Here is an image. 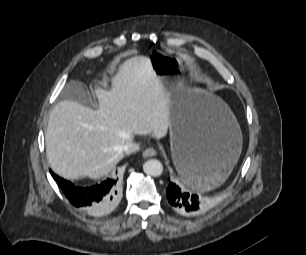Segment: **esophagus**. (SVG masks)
I'll list each match as a JSON object with an SVG mask.
<instances>
[{"mask_svg":"<svg viewBox=\"0 0 306 255\" xmlns=\"http://www.w3.org/2000/svg\"><path fill=\"white\" fill-rule=\"evenodd\" d=\"M156 155H157V151H156L154 148H152V147L147 148V149H145V150L143 151V156H144L145 158L154 157V156H156Z\"/></svg>","mask_w":306,"mask_h":255,"instance_id":"1","label":"esophagus"}]
</instances>
